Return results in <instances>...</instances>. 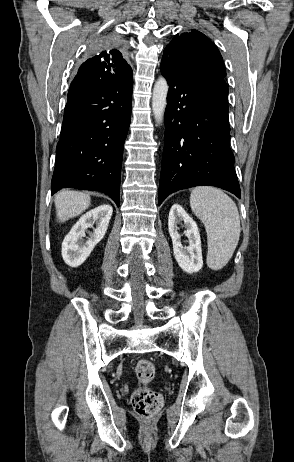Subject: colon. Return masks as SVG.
Listing matches in <instances>:
<instances>
[{
    "label": "colon",
    "instance_id": "1",
    "mask_svg": "<svg viewBox=\"0 0 294 462\" xmlns=\"http://www.w3.org/2000/svg\"><path fill=\"white\" fill-rule=\"evenodd\" d=\"M135 375L143 386L132 394L131 400L134 410L141 417H153L163 405L162 396L147 386L155 375L154 364L148 359L139 360L135 366Z\"/></svg>",
    "mask_w": 294,
    "mask_h": 462
}]
</instances>
